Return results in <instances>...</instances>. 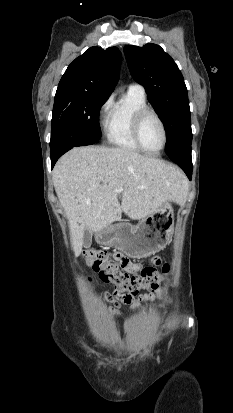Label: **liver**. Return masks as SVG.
<instances>
[{"mask_svg":"<svg viewBox=\"0 0 233 413\" xmlns=\"http://www.w3.org/2000/svg\"><path fill=\"white\" fill-rule=\"evenodd\" d=\"M53 183L76 256L85 230L100 231L118 221L122 211L133 220L143 219L169 201L179 202L186 191L175 166L128 148L103 146L77 147L64 154L54 167Z\"/></svg>","mask_w":233,"mask_h":413,"instance_id":"obj_1","label":"liver"}]
</instances>
